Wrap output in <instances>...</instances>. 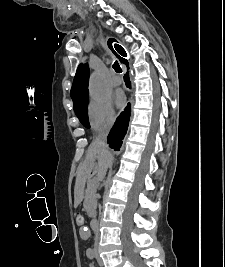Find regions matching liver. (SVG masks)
I'll return each mask as SVG.
<instances>
[{
  "mask_svg": "<svg viewBox=\"0 0 225 267\" xmlns=\"http://www.w3.org/2000/svg\"><path fill=\"white\" fill-rule=\"evenodd\" d=\"M97 158L98 165L95 166L94 161ZM112 160L110 152H105L95 141L92 142L87 150L86 158L79 165L77 171V179L74 190V206L77 207L83 200L85 180L90 176L92 170L97 172V179L105 176L106 170Z\"/></svg>",
  "mask_w": 225,
  "mask_h": 267,
  "instance_id": "liver-1",
  "label": "liver"
}]
</instances>
